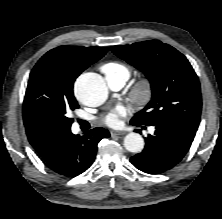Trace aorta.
Wrapping results in <instances>:
<instances>
[{
  "label": "aorta",
  "instance_id": "762f6f07",
  "mask_svg": "<svg viewBox=\"0 0 222 219\" xmlns=\"http://www.w3.org/2000/svg\"><path fill=\"white\" fill-rule=\"evenodd\" d=\"M75 93L87 106H99L108 97V89L103 78L95 73H85L75 83ZM124 147L132 153H139L144 148V140L138 133L131 132L124 138Z\"/></svg>",
  "mask_w": 222,
  "mask_h": 219
}]
</instances>
